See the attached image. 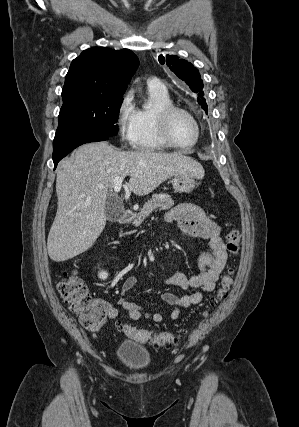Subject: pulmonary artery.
I'll return each instance as SVG.
<instances>
[{
	"label": "pulmonary artery",
	"mask_w": 299,
	"mask_h": 427,
	"mask_svg": "<svg viewBox=\"0 0 299 427\" xmlns=\"http://www.w3.org/2000/svg\"><path fill=\"white\" fill-rule=\"evenodd\" d=\"M148 86L157 90L166 91V85L158 78H153L148 82Z\"/></svg>",
	"instance_id": "pulmonary-artery-1"
}]
</instances>
